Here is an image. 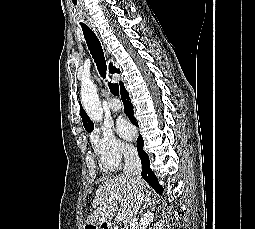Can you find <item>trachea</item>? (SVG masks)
Listing matches in <instances>:
<instances>
[{"mask_svg":"<svg viewBox=\"0 0 255 229\" xmlns=\"http://www.w3.org/2000/svg\"><path fill=\"white\" fill-rule=\"evenodd\" d=\"M83 34L88 46V49L96 63V66L99 70V73L102 77L106 75V62L104 57V52L101 46V43L96 36V34L86 25L81 23ZM110 92L113 95H119V85L117 83H108Z\"/></svg>","mask_w":255,"mask_h":229,"instance_id":"trachea-1","label":"trachea"}]
</instances>
